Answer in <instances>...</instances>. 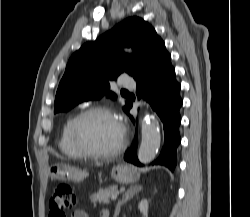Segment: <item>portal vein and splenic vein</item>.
I'll return each instance as SVG.
<instances>
[{"label": "portal vein and splenic vein", "mask_w": 250, "mask_h": 217, "mask_svg": "<svg viewBox=\"0 0 250 217\" xmlns=\"http://www.w3.org/2000/svg\"><path fill=\"white\" fill-rule=\"evenodd\" d=\"M117 196H118V194H113V195L111 196V199H112V200H116Z\"/></svg>", "instance_id": "obj_1"}]
</instances>
